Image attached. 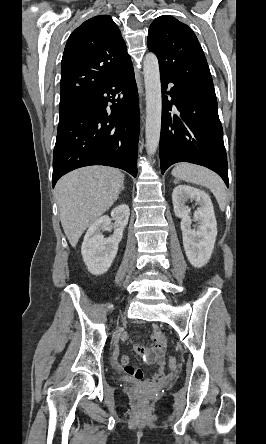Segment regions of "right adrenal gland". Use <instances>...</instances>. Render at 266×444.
Returning a JSON list of instances; mask_svg holds the SVG:
<instances>
[{"label":"right adrenal gland","mask_w":266,"mask_h":444,"mask_svg":"<svg viewBox=\"0 0 266 444\" xmlns=\"http://www.w3.org/2000/svg\"><path fill=\"white\" fill-rule=\"evenodd\" d=\"M124 189H125V188H124V185H122V191H124Z\"/></svg>","instance_id":"2a0ac1e0"}]
</instances>
